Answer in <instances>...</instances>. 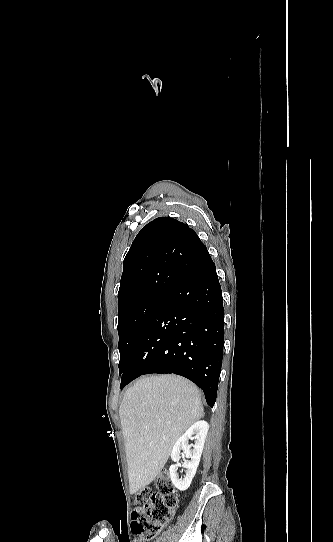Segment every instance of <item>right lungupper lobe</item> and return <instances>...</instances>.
I'll return each mask as SVG.
<instances>
[{
    "label": "right lung upper lobe",
    "instance_id": "1",
    "mask_svg": "<svg viewBox=\"0 0 333 542\" xmlns=\"http://www.w3.org/2000/svg\"><path fill=\"white\" fill-rule=\"evenodd\" d=\"M204 247L194 230L173 218L159 217L148 223L124 259L118 312L150 295L169 292L183 279L185 274L180 269L161 261L160 250L177 248L194 253Z\"/></svg>",
    "mask_w": 333,
    "mask_h": 542
}]
</instances>
